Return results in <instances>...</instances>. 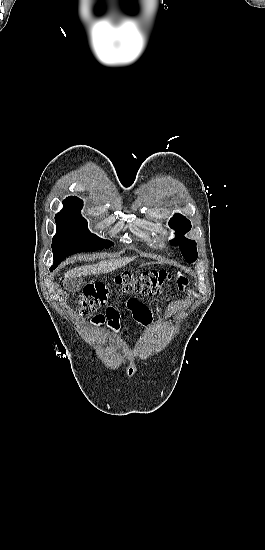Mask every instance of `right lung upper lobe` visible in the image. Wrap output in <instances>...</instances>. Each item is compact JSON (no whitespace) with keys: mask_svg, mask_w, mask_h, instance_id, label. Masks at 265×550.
<instances>
[{"mask_svg":"<svg viewBox=\"0 0 265 550\" xmlns=\"http://www.w3.org/2000/svg\"><path fill=\"white\" fill-rule=\"evenodd\" d=\"M81 200L77 197H68L66 200H64L63 204H69V203H75L80 202Z\"/></svg>","mask_w":265,"mask_h":550,"instance_id":"1","label":"right lung upper lobe"}]
</instances>
